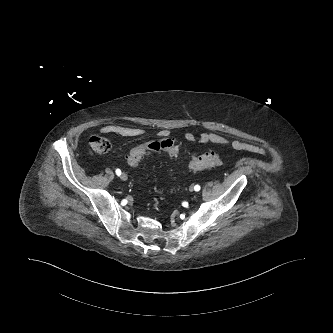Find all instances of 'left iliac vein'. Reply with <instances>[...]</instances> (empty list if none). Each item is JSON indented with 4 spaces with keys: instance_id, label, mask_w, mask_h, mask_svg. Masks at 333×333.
I'll use <instances>...</instances> for the list:
<instances>
[{
    "instance_id": "left-iliac-vein-1",
    "label": "left iliac vein",
    "mask_w": 333,
    "mask_h": 333,
    "mask_svg": "<svg viewBox=\"0 0 333 333\" xmlns=\"http://www.w3.org/2000/svg\"><path fill=\"white\" fill-rule=\"evenodd\" d=\"M189 190H190V191H193V190H194V187H193V186H190Z\"/></svg>"
}]
</instances>
